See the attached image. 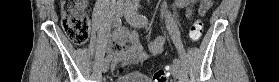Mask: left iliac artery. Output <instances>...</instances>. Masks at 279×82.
<instances>
[{"label":"left iliac artery","mask_w":279,"mask_h":82,"mask_svg":"<svg viewBox=\"0 0 279 82\" xmlns=\"http://www.w3.org/2000/svg\"><path fill=\"white\" fill-rule=\"evenodd\" d=\"M139 19L142 21V22H148V17L145 16V15H139ZM173 62L177 65H179V60L178 59H174ZM167 70H169V66L166 67Z\"/></svg>","instance_id":"1"}]
</instances>
